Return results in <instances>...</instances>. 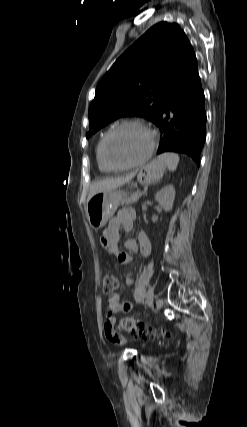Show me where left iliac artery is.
<instances>
[{
  "label": "left iliac artery",
  "mask_w": 247,
  "mask_h": 427,
  "mask_svg": "<svg viewBox=\"0 0 247 427\" xmlns=\"http://www.w3.org/2000/svg\"><path fill=\"white\" fill-rule=\"evenodd\" d=\"M152 303H153L152 298H149V299H148V301H147V304H148V305H152Z\"/></svg>",
  "instance_id": "1"
}]
</instances>
